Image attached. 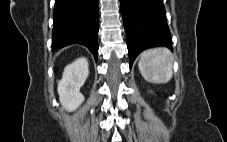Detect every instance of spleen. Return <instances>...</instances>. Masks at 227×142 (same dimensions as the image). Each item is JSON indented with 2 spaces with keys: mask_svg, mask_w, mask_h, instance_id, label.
Listing matches in <instances>:
<instances>
[{
  "mask_svg": "<svg viewBox=\"0 0 227 142\" xmlns=\"http://www.w3.org/2000/svg\"><path fill=\"white\" fill-rule=\"evenodd\" d=\"M172 54L167 48H153L141 53L138 68L151 83H167L172 78Z\"/></svg>",
  "mask_w": 227,
  "mask_h": 142,
  "instance_id": "3e777b00",
  "label": "spleen"
}]
</instances>
